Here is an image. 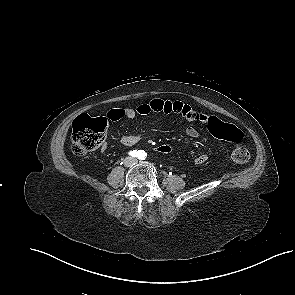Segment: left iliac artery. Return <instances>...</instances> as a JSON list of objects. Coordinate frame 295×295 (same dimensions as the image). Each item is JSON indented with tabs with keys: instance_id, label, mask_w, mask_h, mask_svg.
<instances>
[{
	"instance_id": "44dca946",
	"label": "left iliac artery",
	"mask_w": 295,
	"mask_h": 295,
	"mask_svg": "<svg viewBox=\"0 0 295 295\" xmlns=\"http://www.w3.org/2000/svg\"><path fill=\"white\" fill-rule=\"evenodd\" d=\"M146 153L144 151H141L140 155H139V159L140 160H144L146 158Z\"/></svg>"
}]
</instances>
